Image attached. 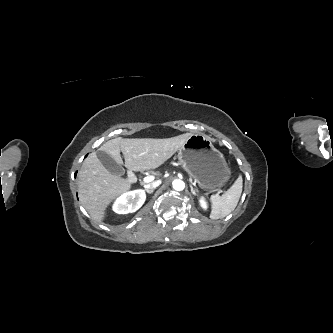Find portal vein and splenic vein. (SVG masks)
<instances>
[{
  "label": "portal vein and splenic vein",
  "mask_w": 333,
  "mask_h": 333,
  "mask_svg": "<svg viewBox=\"0 0 333 333\" xmlns=\"http://www.w3.org/2000/svg\"><path fill=\"white\" fill-rule=\"evenodd\" d=\"M154 180V176L153 175H149L143 178V182L144 183H150Z\"/></svg>",
  "instance_id": "1"
}]
</instances>
